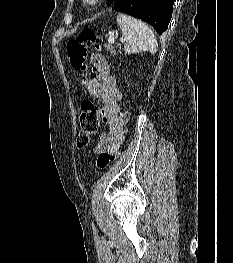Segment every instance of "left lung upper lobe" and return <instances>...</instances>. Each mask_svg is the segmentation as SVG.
<instances>
[{
  "label": "left lung upper lobe",
  "mask_w": 233,
  "mask_h": 263,
  "mask_svg": "<svg viewBox=\"0 0 233 263\" xmlns=\"http://www.w3.org/2000/svg\"><path fill=\"white\" fill-rule=\"evenodd\" d=\"M108 4L114 3L115 0H107Z\"/></svg>",
  "instance_id": "obj_1"
}]
</instances>
